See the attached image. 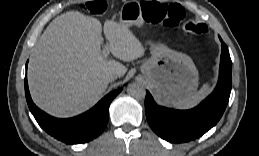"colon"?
Returning a JSON list of instances; mask_svg holds the SVG:
<instances>
[{
	"label": "colon",
	"mask_w": 259,
	"mask_h": 156,
	"mask_svg": "<svg viewBox=\"0 0 259 156\" xmlns=\"http://www.w3.org/2000/svg\"><path fill=\"white\" fill-rule=\"evenodd\" d=\"M107 3L104 0H95L84 5V10L92 15H101L105 13ZM146 19L150 22H157L160 20V13L157 8H151L145 13ZM169 20H165V24H169ZM185 30L196 35H203L207 32V27L203 23L190 22L185 25Z\"/></svg>",
	"instance_id": "colon-1"
}]
</instances>
